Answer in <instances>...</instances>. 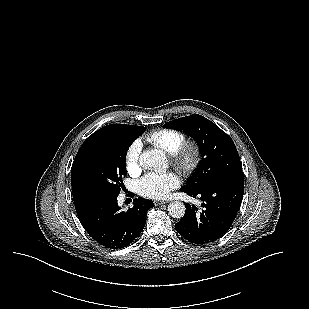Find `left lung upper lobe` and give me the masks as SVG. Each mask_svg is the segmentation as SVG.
<instances>
[{"instance_id": "5c2ea615", "label": "left lung upper lobe", "mask_w": 309, "mask_h": 309, "mask_svg": "<svg viewBox=\"0 0 309 309\" xmlns=\"http://www.w3.org/2000/svg\"><path fill=\"white\" fill-rule=\"evenodd\" d=\"M190 135L198 143L201 165L181 189L192 191L218 180L242 177L240 157L232 139L216 124L193 114L164 124Z\"/></svg>"}]
</instances>
